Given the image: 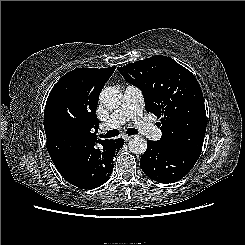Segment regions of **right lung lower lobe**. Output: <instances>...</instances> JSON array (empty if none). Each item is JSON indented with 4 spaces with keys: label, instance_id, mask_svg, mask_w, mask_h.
I'll use <instances>...</instances> for the list:
<instances>
[{
    "label": "right lung lower lobe",
    "instance_id": "right-lung-lower-lobe-1",
    "mask_svg": "<svg viewBox=\"0 0 245 245\" xmlns=\"http://www.w3.org/2000/svg\"><path fill=\"white\" fill-rule=\"evenodd\" d=\"M101 149L91 147L77 159L52 158L59 173L70 184L81 189H94L104 184L112 174L115 154L124 145L122 139L100 140Z\"/></svg>",
    "mask_w": 245,
    "mask_h": 245
}]
</instances>
